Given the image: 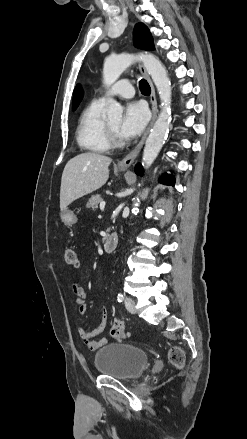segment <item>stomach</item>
<instances>
[{
    "instance_id": "0dacf381",
    "label": "stomach",
    "mask_w": 247,
    "mask_h": 439,
    "mask_svg": "<svg viewBox=\"0 0 247 439\" xmlns=\"http://www.w3.org/2000/svg\"><path fill=\"white\" fill-rule=\"evenodd\" d=\"M61 219L63 221L64 224L72 226L73 224H75L77 222V216L76 214L69 210V209H65L63 211H61Z\"/></svg>"
}]
</instances>
